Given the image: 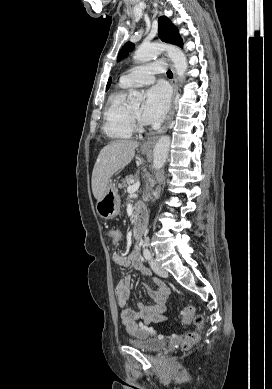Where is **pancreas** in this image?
Returning <instances> with one entry per match:
<instances>
[{"label":"pancreas","instance_id":"1","mask_svg":"<svg viewBox=\"0 0 272 389\" xmlns=\"http://www.w3.org/2000/svg\"><path fill=\"white\" fill-rule=\"evenodd\" d=\"M131 183H135V177L133 175L126 177V179L121 183L120 188H122L125 192V187Z\"/></svg>","mask_w":272,"mask_h":389}]
</instances>
